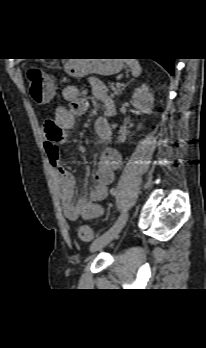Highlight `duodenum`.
Segmentation results:
<instances>
[{
	"label": "duodenum",
	"mask_w": 206,
	"mask_h": 348,
	"mask_svg": "<svg viewBox=\"0 0 206 348\" xmlns=\"http://www.w3.org/2000/svg\"><path fill=\"white\" fill-rule=\"evenodd\" d=\"M107 111H108L109 113H111V112L113 111V107L108 108Z\"/></svg>",
	"instance_id": "1"
}]
</instances>
